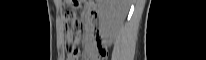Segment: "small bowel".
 <instances>
[{"label": "small bowel", "mask_w": 206, "mask_h": 60, "mask_svg": "<svg viewBox=\"0 0 206 60\" xmlns=\"http://www.w3.org/2000/svg\"><path fill=\"white\" fill-rule=\"evenodd\" d=\"M94 52V48L91 44L87 46V55H92ZM75 58H70V60H74Z\"/></svg>", "instance_id": "obj_1"}]
</instances>
